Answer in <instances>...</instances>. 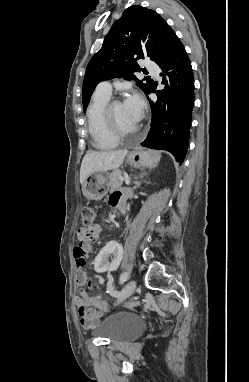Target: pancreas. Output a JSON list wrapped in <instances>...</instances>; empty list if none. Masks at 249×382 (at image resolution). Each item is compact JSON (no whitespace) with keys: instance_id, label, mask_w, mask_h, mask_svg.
Instances as JSON below:
<instances>
[{"instance_id":"obj_1","label":"pancreas","mask_w":249,"mask_h":382,"mask_svg":"<svg viewBox=\"0 0 249 382\" xmlns=\"http://www.w3.org/2000/svg\"><path fill=\"white\" fill-rule=\"evenodd\" d=\"M120 176H121L120 170H114L110 174L109 181H108L107 185L111 190L119 189L121 187L122 181L119 180Z\"/></svg>"}]
</instances>
